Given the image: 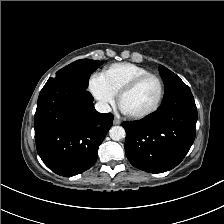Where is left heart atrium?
<instances>
[{"label":"left heart atrium","mask_w":224,"mask_h":224,"mask_svg":"<svg viewBox=\"0 0 224 224\" xmlns=\"http://www.w3.org/2000/svg\"><path fill=\"white\" fill-rule=\"evenodd\" d=\"M120 109H121V111L123 112V113H126L127 114V112L120 106Z\"/></svg>","instance_id":"1"}]
</instances>
